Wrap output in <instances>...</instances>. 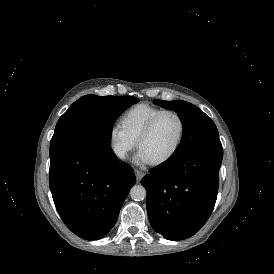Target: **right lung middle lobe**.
<instances>
[{"label": "right lung middle lobe", "instance_id": "1", "mask_svg": "<svg viewBox=\"0 0 274 274\" xmlns=\"http://www.w3.org/2000/svg\"><path fill=\"white\" fill-rule=\"evenodd\" d=\"M139 99L132 96L86 95L60 117L50 142V159L58 153L96 143L111 146V129L119 115Z\"/></svg>", "mask_w": 274, "mask_h": 274}]
</instances>
